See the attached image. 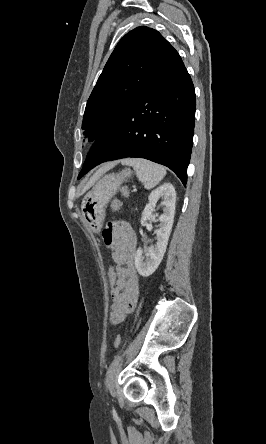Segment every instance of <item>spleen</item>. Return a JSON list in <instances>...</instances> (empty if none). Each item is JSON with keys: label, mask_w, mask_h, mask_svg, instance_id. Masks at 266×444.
Listing matches in <instances>:
<instances>
[{"label": "spleen", "mask_w": 266, "mask_h": 444, "mask_svg": "<svg viewBox=\"0 0 266 444\" xmlns=\"http://www.w3.org/2000/svg\"><path fill=\"white\" fill-rule=\"evenodd\" d=\"M122 164L134 168L137 178L143 182L146 189L154 188L166 175L163 166L143 158H126L122 160Z\"/></svg>", "instance_id": "1"}]
</instances>
